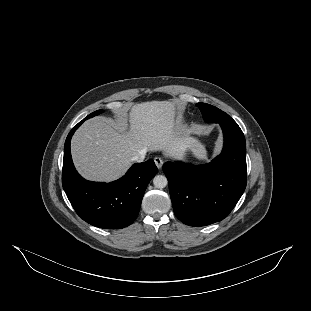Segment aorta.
Listing matches in <instances>:
<instances>
[{"instance_id": "1", "label": "aorta", "mask_w": 311, "mask_h": 311, "mask_svg": "<svg viewBox=\"0 0 311 311\" xmlns=\"http://www.w3.org/2000/svg\"><path fill=\"white\" fill-rule=\"evenodd\" d=\"M153 184L156 188L162 189L165 188L168 184V180L164 175H156L153 178Z\"/></svg>"}]
</instances>
